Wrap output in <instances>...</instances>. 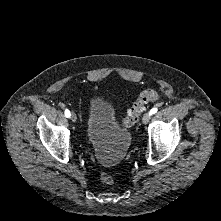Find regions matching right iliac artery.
I'll use <instances>...</instances> for the list:
<instances>
[{
  "mask_svg": "<svg viewBox=\"0 0 221 221\" xmlns=\"http://www.w3.org/2000/svg\"><path fill=\"white\" fill-rule=\"evenodd\" d=\"M70 111L68 110V109H65V116L67 117V118H69L70 117Z\"/></svg>",
  "mask_w": 221,
  "mask_h": 221,
  "instance_id": "right-iliac-artery-1",
  "label": "right iliac artery"
}]
</instances>
